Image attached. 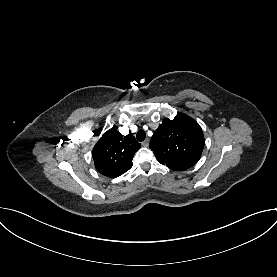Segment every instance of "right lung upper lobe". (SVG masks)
<instances>
[{"label": "right lung upper lobe", "instance_id": "right-lung-upper-lobe-1", "mask_svg": "<svg viewBox=\"0 0 277 277\" xmlns=\"http://www.w3.org/2000/svg\"><path fill=\"white\" fill-rule=\"evenodd\" d=\"M134 136H122L115 127L102 135L92 151L95 167L101 174L116 178L128 171L140 148Z\"/></svg>", "mask_w": 277, "mask_h": 277}]
</instances>
